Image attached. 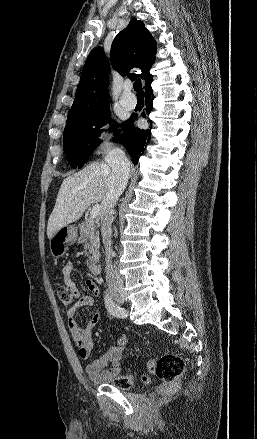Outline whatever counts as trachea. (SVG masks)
<instances>
[{
	"label": "trachea",
	"instance_id": "1",
	"mask_svg": "<svg viewBox=\"0 0 257 439\" xmlns=\"http://www.w3.org/2000/svg\"><path fill=\"white\" fill-rule=\"evenodd\" d=\"M133 88H134V90L136 91V93H137L138 96H143V95H144V92H143V89H142V83H141V80H140V79H137V80L134 82V84H133Z\"/></svg>",
	"mask_w": 257,
	"mask_h": 439
}]
</instances>
